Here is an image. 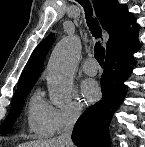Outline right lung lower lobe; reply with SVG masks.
<instances>
[{"label":"right lung lower lobe","mask_w":145,"mask_h":147,"mask_svg":"<svg viewBox=\"0 0 145 147\" xmlns=\"http://www.w3.org/2000/svg\"><path fill=\"white\" fill-rule=\"evenodd\" d=\"M138 29L114 44L106 53L104 74L101 77L102 100L89 107L77 120L72 140L78 147H103L108 141V124L125 97L123 81L133 69L132 54L139 49Z\"/></svg>","instance_id":"right-lung-lower-lobe-1"}]
</instances>
